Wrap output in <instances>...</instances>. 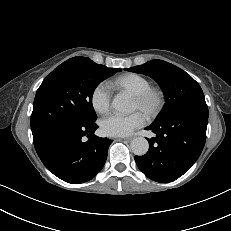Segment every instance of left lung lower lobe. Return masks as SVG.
I'll list each match as a JSON object with an SVG mask.
<instances>
[{"label": "left lung lower lobe", "instance_id": "1", "mask_svg": "<svg viewBox=\"0 0 231 231\" xmlns=\"http://www.w3.org/2000/svg\"><path fill=\"white\" fill-rule=\"evenodd\" d=\"M207 105H193L169 118L152 123L146 130L156 133L148 139L149 151L135 156L138 168L150 179L168 183L186 173L200 156L206 140Z\"/></svg>", "mask_w": 231, "mask_h": 231}]
</instances>
